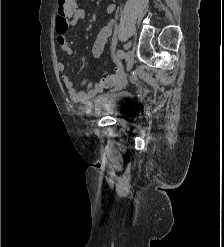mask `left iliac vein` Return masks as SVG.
I'll return each mask as SVG.
<instances>
[{"mask_svg":"<svg viewBox=\"0 0 224 247\" xmlns=\"http://www.w3.org/2000/svg\"><path fill=\"white\" fill-rule=\"evenodd\" d=\"M125 60H126V66H127V71L131 70L134 64V53L133 51L129 50L126 53L125 56Z\"/></svg>","mask_w":224,"mask_h":247,"instance_id":"obj_1","label":"left iliac vein"}]
</instances>
